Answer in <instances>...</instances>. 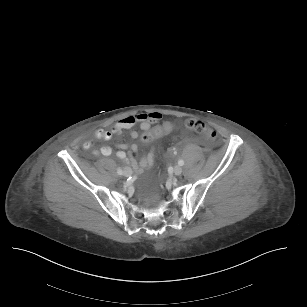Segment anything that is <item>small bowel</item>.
<instances>
[{
    "label": "small bowel",
    "instance_id": "obj_1",
    "mask_svg": "<svg viewBox=\"0 0 307 307\" xmlns=\"http://www.w3.org/2000/svg\"><path fill=\"white\" fill-rule=\"evenodd\" d=\"M162 118L161 113L159 112H141L133 115L126 116L120 119L111 129L103 130L98 129L94 132V137L96 139L110 140L114 135L120 134L124 130H129L135 125H140L141 129L146 130L150 127H155L160 124V120ZM156 124L155 126H153ZM130 136L133 139L138 138V133L136 131H131ZM142 136V135H141ZM93 146L92 140H87L83 143V147L85 149H91ZM118 151L116 155L119 159L125 161L127 164H130L136 170H142L149 168L153 165L157 150H150L147 154L142 155L139 160L135 158H128L133 153H137L139 151V146L136 144L132 145H124L120 144L117 146ZM97 155L110 156L113 154V148L110 146H103L98 151L95 152Z\"/></svg>",
    "mask_w": 307,
    "mask_h": 307
}]
</instances>
